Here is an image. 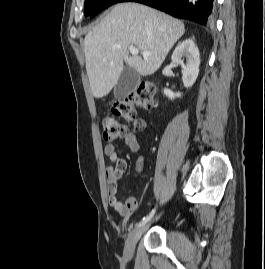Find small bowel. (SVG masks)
<instances>
[{
  "instance_id": "small-bowel-1",
  "label": "small bowel",
  "mask_w": 265,
  "mask_h": 269,
  "mask_svg": "<svg viewBox=\"0 0 265 269\" xmlns=\"http://www.w3.org/2000/svg\"><path fill=\"white\" fill-rule=\"evenodd\" d=\"M145 129V123L139 120L134 129L123 136V142L130 151L138 152V134ZM104 153L111 160V164L106 168V181L109 187V205L121 216H128L138 208V201L135 197L129 196L125 203L117 198V190L123 178L127 164L125 160L118 157L116 147L113 143H108L104 147ZM141 165L138 166V169Z\"/></svg>"
}]
</instances>
